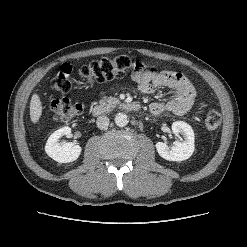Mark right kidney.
Wrapping results in <instances>:
<instances>
[{"mask_svg": "<svg viewBox=\"0 0 247 247\" xmlns=\"http://www.w3.org/2000/svg\"><path fill=\"white\" fill-rule=\"evenodd\" d=\"M71 133L68 126L62 127L55 131L48 138L45 145V152L49 157L59 163H69L75 161L81 154L82 148L74 143L60 144L59 138Z\"/></svg>", "mask_w": 247, "mask_h": 247, "instance_id": "1", "label": "right kidney"}]
</instances>
